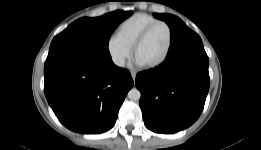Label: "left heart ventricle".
Segmentation results:
<instances>
[{"label": "left heart ventricle", "mask_w": 261, "mask_h": 150, "mask_svg": "<svg viewBox=\"0 0 261 150\" xmlns=\"http://www.w3.org/2000/svg\"><path fill=\"white\" fill-rule=\"evenodd\" d=\"M167 46V29L159 25L151 31L147 39L140 45L136 52V58L139 59L144 66L150 65L164 56Z\"/></svg>", "instance_id": "b2bd125f"}]
</instances>
